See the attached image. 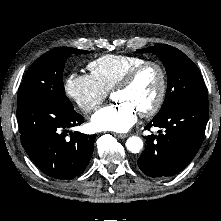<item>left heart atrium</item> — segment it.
Segmentation results:
<instances>
[{"instance_id": "left-heart-atrium-1", "label": "left heart atrium", "mask_w": 221, "mask_h": 221, "mask_svg": "<svg viewBox=\"0 0 221 221\" xmlns=\"http://www.w3.org/2000/svg\"><path fill=\"white\" fill-rule=\"evenodd\" d=\"M137 120V111L127 102H116L98 110L91 118L98 131L125 132Z\"/></svg>"}]
</instances>
